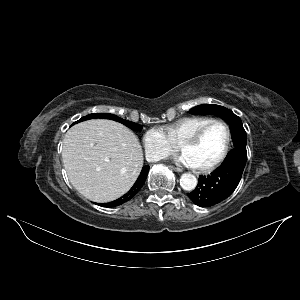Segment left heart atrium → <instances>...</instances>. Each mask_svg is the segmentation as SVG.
<instances>
[{
	"label": "left heart atrium",
	"mask_w": 300,
	"mask_h": 300,
	"mask_svg": "<svg viewBox=\"0 0 300 300\" xmlns=\"http://www.w3.org/2000/svg\"><path fill=\"white\" fill-rule=\"evenodd\" d=\"M178 162L188 167H194L192 160L184 153L178 158Z\"/></svg>",
	"instance_id": "obj_1"
}]
</instances>
